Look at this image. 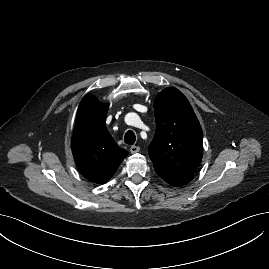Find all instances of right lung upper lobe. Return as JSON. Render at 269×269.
<instances>
[{
    "mask_svg": "<svg viewBox=\"0 0 269 269\" xmlns=\"http://www.w3.org/2000/svg\"><path fill=\"white\" fill-rule=\"evenodd\" d=\"M108 107L93 95L85 96L78 107L71 139L78 170L94 183L107 182L128 155L107 131Z\"/></svg>",
    "mask_w": 269,
    "mask_h": 269,
    "instance_id": "1",
    "label": "right lung upper lobe"
}]
</instances>
